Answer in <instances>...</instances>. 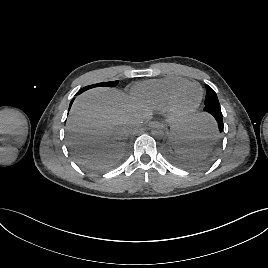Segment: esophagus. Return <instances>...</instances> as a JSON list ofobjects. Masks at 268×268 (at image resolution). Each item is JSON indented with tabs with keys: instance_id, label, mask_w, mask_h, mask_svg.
<instances>
[{
	"instance_id": "1",
	"label": "esophagus",
	"mask_w": 268,
	"mask_h": 268,
	"mask_svg": "<svg viewBox=\"0 0 268 268\" xmlns=\"http://www.w3.org/2000/svg\"><path fill=\"white\" fill-rule=\"evenodd\" d=\"M148 126L150 128L160 127L161 123L157 120H153V121L149 122Z\"/></svg>"
}]
</instances>
